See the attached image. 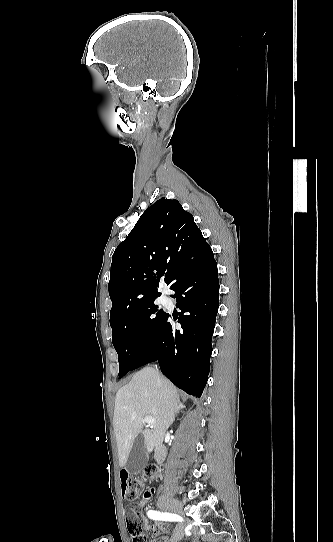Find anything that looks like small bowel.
<instances>
[{
  "mask_svg": "<svg viewBox=\"0 0 333 542\" xmlns=\"http://www.w3.org/2000/svg\"><path fill=\"white\" fill-rule=\"evenodd\" d=\"M126 475L127 473L125 471H121V473L119 474V479L122 480H125L126 479ZM156 493V490L152 487L150 488H147L145 491H144V496L143 498L138 502V506L140 507H147L148 503L152 500V498L154 497ZM137 510V508H136ZM139 515L143 521V524L144 526L154 532V533H157V532H160V531H163V532H166L169 530V524L167 523H158V524H150L149 522V518L147 515H143L141 512H139ZM185 534V531L183 529V527L181 526H176L171 535L162 539L161 542H177L179 541Z\"/></svg>",
  "mask_w": 333,
  "mask_h": 542,
  "instance_id": "obj_1",
  "label": "small bowel"
}]
</instances>
